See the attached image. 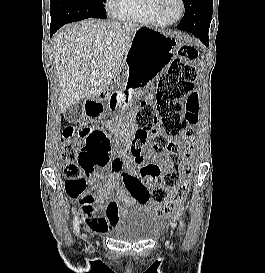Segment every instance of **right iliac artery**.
<instances>
[{
	"mask_svg": "<svg viewBox=\"0 0 265 273\" xmlns=\"http://www.w3.org/2000/svg\"><path fill=\"white\" fill-rule=\"evenodd\" d=\"M73 228H74V233H75L76 235H78V234H79V217H78V216H76V217L74 218V221H73Z\"/></svg>",
	"mask_w": 265,
	"mask_h": 273,
	"instance_id": "right-iliac-artery-1",
	"label": "right iliac artery"
}]
</instances>
